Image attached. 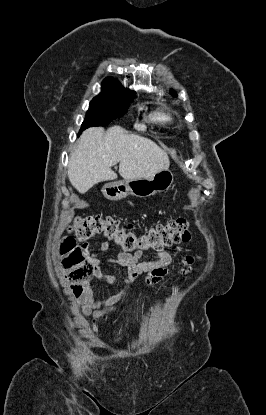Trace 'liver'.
I'll return each instance as SVG.
<instances>
[{
	"label": "liver",
	"mask_w": 266,
	"mask_h": 415,
	"mask_svg": "<svg viewBox=\"0 0 266 415\" xmlns=\"http://www.w3.org/2000/svg\"><path fill=\"white\" fill-rule=\"evenodd\" d=\"M117 163L119 174L128 180L151 178L170 165L167 153L148 138L129 134L120 126L107 131L92 127L83 132L70 154L69 181L84 194L99 182L115 180L111 168Z\"/></svg>",
	"instance_id": "1"
}]
</instances>
